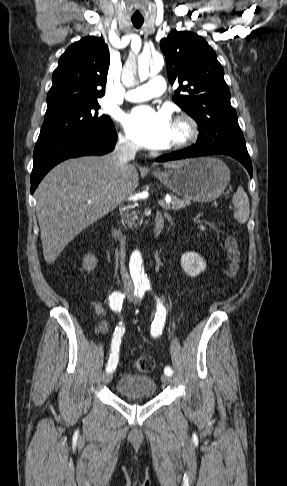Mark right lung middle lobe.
Instances as JSON below:
<instances>
[{"instance_id":"1","label":"right lung middle lobe","mask_w":287,"mask_h":486,"mask_svg":"<svg viewBox=\"0 0 287 486\" xmlns=\"http://www.w3.org/2000/svg\"><path fill=\"white\" fill-rule=\"evenodd\" d=\"M99 110L98 99L72 101L47 107L38 141L89 137L102 133L113 123Z\"/></svg>"}]
</instances>
